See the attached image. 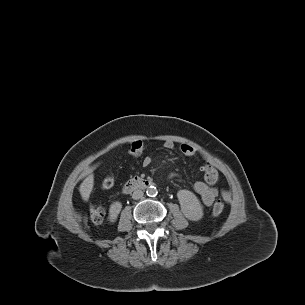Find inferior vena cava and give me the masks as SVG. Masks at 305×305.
Wrapping results in <instances>:
<instances>
[{"label": "inferior vena cava", "mask_w": 305, "mask_h": 305, "mask_svg": "<svg viewBox=\"0 0 305 305\" xmlns=\"http://www.w3.org/2000/svg\"><path fill=\"white\" fill-rule=\"evenodd\" d=\"M144 195L143 191L142 190H135L132 194V198L137 200V199H140L142 198Z\"/></svg>", "instance_id": "obj_1"}]
</instances>
